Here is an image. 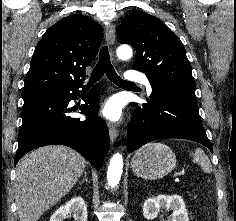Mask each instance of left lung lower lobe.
<instances>
[{"instance_id":"0a47b994","label":"left lung lower lobe","mask_w":236,"mask_h":221,"mask_svg":"<svg viewBox=\"0 0 236 221\" xmlns=\"http://www.w3.org/2000/svg\"><path fill=\"white\" fill-rule=\"evenodd\" d=\"M151 86L148 104L138 106L131 119L127 137L128 152L162 138L193 140L213 152L201 123L195 91Z\"/></svg>"}]
</instances>
